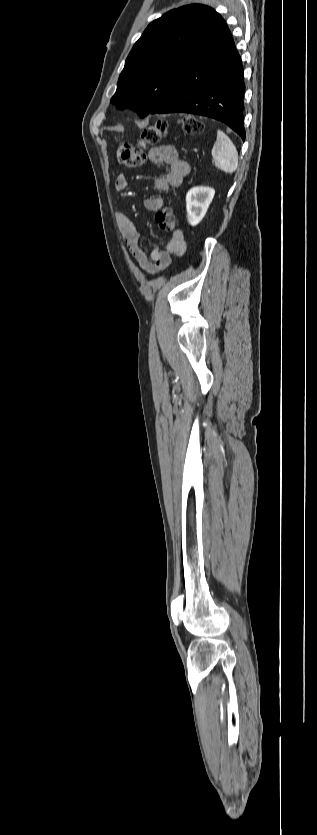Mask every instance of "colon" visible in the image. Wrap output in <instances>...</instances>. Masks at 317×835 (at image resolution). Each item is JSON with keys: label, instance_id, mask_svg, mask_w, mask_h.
I'll use <instances>...</instances> for the list:
<instances>
[{"label": "colon", "instance_id": "1", "mask_svg": "<svg viewBox=\"0 0 317 835\" xmlns=\"http://www.w3.org/2000/svg\"><path fill=\"white\" fill-rule=\"evenodd\" d=\"M182 130L185 133L196 134L202 130V124L196 118L185 116L181 119ZM168 123L158 121L145 128L136 145L122 142L117 148L118 161L127 167H137L146 158V148L158 143L167 133ZM158 227L164 232H173L177 225L176 217L169 207L160 209L155 216Z\"/></svg>", "mask_w": 317, "mask_h": 835}]
</instances>
